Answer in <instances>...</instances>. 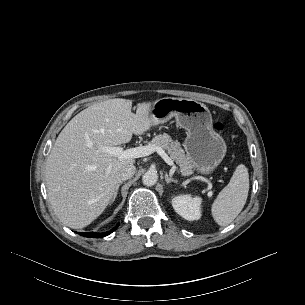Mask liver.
Segmentation results:
<instances>
[{
    "label": "liver",
    "instance_id": "6515ba94",
    "mask_svg": "<svg viewBox=\"0 0 305 305\" xmlns=\"http://www.w3.org/2000/svg\"><path fill=\"white\" fill-rule=\"evenodd\" d=\"M155 102L138 103L134 114L131 100L109 99L84 109L63 128L45 170L48 198L63 224L83 228L102 214L113 197L118 170L135 163L102 147L128 143L133 134L148 131Z\"/></svg>",
    "mask_w": 305,
    "mask_h": 305
}]
</instances>
